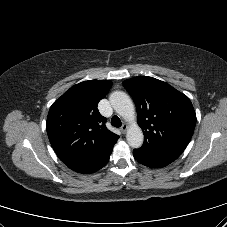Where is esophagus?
<instances>
[{"mask_svg":"<svg viewBox=\"0 0 227 227\" xmlns=\"http://www.w3.org/2000/svg\"><path fill=\"white\" fill-rule=\"evenodd\" d=\"M128 129V125L127 124H123L120 128V130L122 131V133H125Z\"/></svg>","mask_w":227,"mask_h":227,"instance_id":"34e87169","label":"esophagus"}]
</instances>
